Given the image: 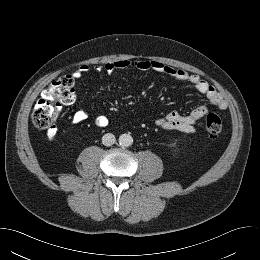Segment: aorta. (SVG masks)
<instances>
[{
  "mask_svg": "<svg viewBox=\"0 0 260 260\" xmlns=\"http://www.w3.org/2000/svg\"><path fill=\"white\" fill-rule=\"evenodd\" d=\"M133 143V138L129 134H122L119 137V145L122 147H129Z\"/></svg>",
  "mask_w": 260,
  "mask_h": 260,
  "instance_id": "1",
  "label": "aorta"
}]
</instances>
